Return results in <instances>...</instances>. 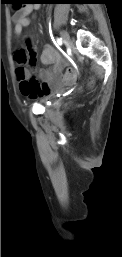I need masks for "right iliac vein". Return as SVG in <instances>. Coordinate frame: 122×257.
<instances>
[{
  "mask_svg": "<svg viewBox=\"0 0 122 257\" xmlns=\"http://www.w3.org/2000/svg\"><path fill=\"white\" fill-rule=\"evenodd\" d=\"M60 35L63 39V41L66 43V44H69L70 43V37H69V34L65 31H61L60 32Z\"/></svg>",
  "mask_w": 122,
  "mask_h": 257,
  "instance_id": "1",
  "label": "right iliac vein"
}]
</instances>
